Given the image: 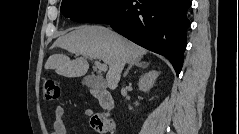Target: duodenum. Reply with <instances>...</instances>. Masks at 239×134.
<instances>
[{
    "instance_id": "obj_1",
    "label": "duodenum",
    "mask_w": 239,
    "mask_h": 134,
    "mask_svg": "<svg viewBox=\"0 0 239 134\" xmlns=\"http://www.w3.org/2000/svg\"><path fill=\"white\" fill-rule=\"evenodd\" d=\"M92 92L98 99L100 106L105 110L106 113H109L113 110L114 99L108 91L104 89L94 88Z\"/></svg>"
}]
</instances>
